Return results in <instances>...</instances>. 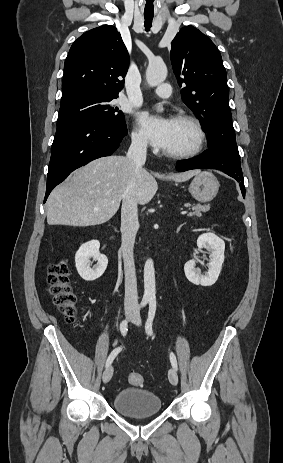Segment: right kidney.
Here are the masks:
<instances>
[{
  "instance_id": "right-kidney-1",
  "label": "right kidney",
  "mask_w": 283,
  "mask_h": 463,
  "mask_svg": "<svg viewBox=\"0 0 283 463\" xmlns=\"http://www.w3.org/2000/svg\"><path fill=\"white\" fill-rule=\"evenodd\" d=\"M100 242L91 240L82 244L75 255L76 269L82 279L94 281L98 279L106 270L108 259L99 252ZM90 258L98 261L94 268L90 267Z\"/></svg>"
}]
</instances>
